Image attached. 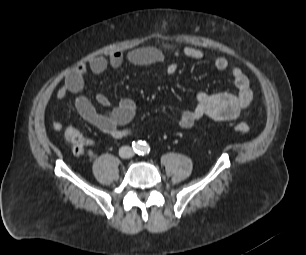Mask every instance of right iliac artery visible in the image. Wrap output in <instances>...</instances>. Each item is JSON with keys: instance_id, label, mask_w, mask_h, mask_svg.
I'll use <instances>...</instances> for the list:
<instances>
[{"instance_id": "82829eb1", "label": "right iliac artery", "mask_w": 306, "mask_h": 255, "mask_svg": "<svg viewBox=\"0 0 306 255\" xmlns=\"http://www.w3.org/2000/svg\"><path fill=\"white\" fill-rule=\"evenodd\" d=\"M132 146H133L134 150L140 151V149H141V142H133Z\"/></svg>"}]
</instances>
